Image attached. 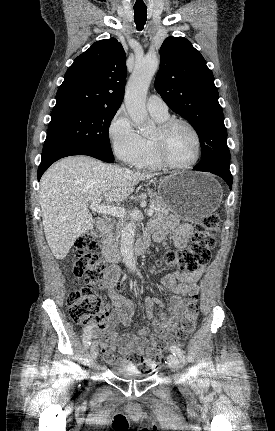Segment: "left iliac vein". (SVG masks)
Instances as JSON below:
<instances>
[{
  "label": "left iliac vein",
  "instance_id": "1",
  "mask_svg": "<svg viewBox=\"0 0 275 431\" xmlns=\"http://www.w3.org/2000/svg\"><path fill=\"white\" fill-rule=\"evenodd\" d=\"M167 362H168L169 367L175 372V377L178 380H181V376L178 373V370H179V361H178L177 357L174 356L173 354H169L168 357H167Z\"/></svg>",
  "mask_w": 275,
  "mask_h": 431
}]
</instances>
